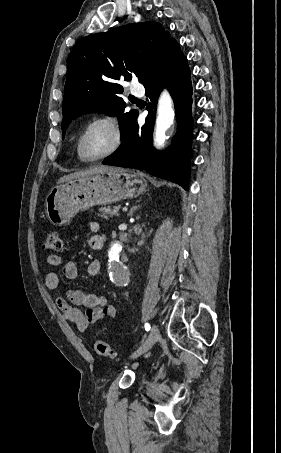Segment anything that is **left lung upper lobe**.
Masks as SVG:
<instances>
[{"instance_id":"left-lung-upper-lobe-1","label":"left lung upper lobe","mask_w":281,"mask_h":453,"mask_svg":"<svg viewBox=\"0 0 281 453\" xmlns=\"http://www.w3.org/2000/svg\"><path fill=\"white\" fill-rule=\"evenodd\" d=\"M172 39L160 23L139 22L79 40L68 58L62 137L72 119L100 112L118 117L125 139L137 111L124 113L123 87L116 81H129L136 76L143 83Z\"/></svg>"}]
</instances>
